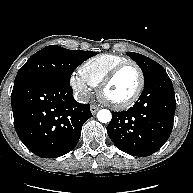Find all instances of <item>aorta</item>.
Wrapping results in <instances>:
<instances>
[{"instance_id":"762f6f07","label":"aorta","mask_w":193,"mask_h":193,"mask_svg":"<svg viewBox=\"0 0 193 193\" xmlns=\"http://www.w3.org/2000/svg\"><path fill=\"white\" fill-rule=\"evenodd\" d=\"M97 118L102 123H108V122H110L112 115H111V112L109 110L102 109V110L98 111Z\"/></svg>"}]
</instances>
